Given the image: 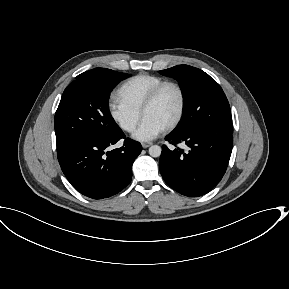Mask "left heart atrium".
I'll use <instances>...</instances> for the list:
<instances>
[{"mask_svg": "<svg viewBox=\"0 0 289 289\" xmlns=\"http://www.w3.org/2000/svg\"><path fill=\"white\" fill-rule=\"evenodd\" d=\"M165 127L157 121L144 117L137 130L134 132V139L147 142L155 139L164 131Z\"/></svg>", "mask_w": 289, "mask_h": 289, "instance_id": "39dd6f15", "label": "left heart atrium"}]
</instances>
